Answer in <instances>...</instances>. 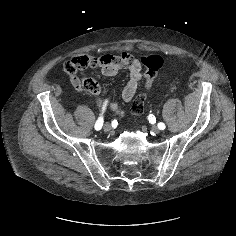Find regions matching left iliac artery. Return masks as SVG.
Listing matches in <instances>:
<instances>
[{
	"instance_id": "obj_1",
	"label": "left iliac artery",
	"mask_w": 236,
	"mask_h": 236,
	"mask_svg": "<svg viewBox=\"0 0 236 236\" xmlns=\"http://www.w3.org/2000/svg\"><path fill=\"white\" fill-rule=\"evenodd\" d=\"M165 127H166V126H165L164 123H162V122L158 123V128H159L160 130H164Z\"/></svg>"
}]
</instances>
